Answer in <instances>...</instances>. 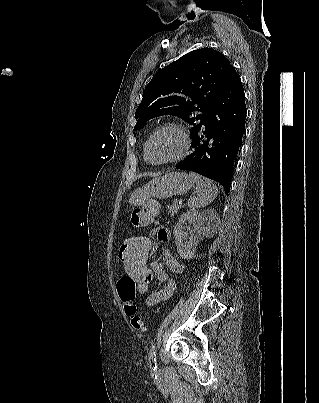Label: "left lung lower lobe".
<instances>
[{"instance_id":"obj_1","label":"left lung lower lobe","mask_w":319,"mask_h":403,"mask_svg":"<svg viewBox=\"0 0 319 403\" xmlns=\"http://www.w3.org/2000/svg\"><path fill=\"white\" fill-rule=\"evenodd\" d=\"M246 105L241 79L232 66L193 135V151L176 165L220 183L228 194L234 161L245 130Z\"/></svg>"}]
</instances>
